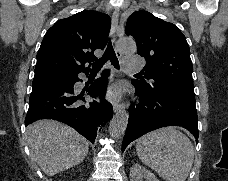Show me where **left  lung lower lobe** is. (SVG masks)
<instances>
[{"instance_id":"1","label":"left lung lower lobe","mask_w":228,"mask_h":181,"mask_svg":"<svg viewBox=\"0 0 228 181\" xmlns=\"http://www.w3.org/2000/svg\"><path fill=\"white\" fill-rule=\"evenodd\" d=\"M141 103L129 108V122L122 142L127 145L142 135L166 126H180L189 130L198 142V118L195 95L163 85L143 87L133 82Z\"/></svg>"}]
</instances>
